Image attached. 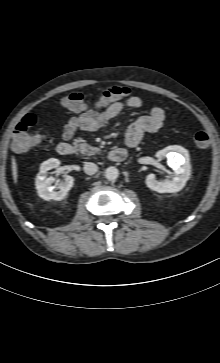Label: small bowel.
I'll return each mask as SVG.
<instances>
[{"instance_id": "obj_1", "label": "small bowel", "mask_w": 220, "mask_h": 363, "mask_svg": "<svg viewBox=\"0 0 220 363\" xmlns=\"http://www.w3.org/2000/svg\"><path fill=\"white\" fill-rule=\"evenodd\" d=\"M103 110L84 107L81 113L69 119L63 127L62 136L70 140L77 130L93 132L104 126L111 119L121 114L126 109H138L143 101L138 96H131L122 101L105 104ZM102 106V105H98ZM166 125L165 112L160 107H153L148 114L137 119L127 130L125 142L128 147L137 146L144 134L155 133L164 129Z\"/></svg>"}]
</instances>
